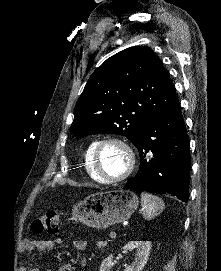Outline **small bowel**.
Masks as SVG:
<instances>
[{
    "label": "small bowel",
    "instance_id": "small-bowel-1",
    "mask_svg": "<svg viewBox=\"0 0 221 271\" xmlns=\"http://www.w3.org/2000/svg\"><path fill=\"white\" fill-rule=\"evenodd\" d=\"M61 239H25L22 243L21 249L25 252H31L37 250L39 252L52 251L57 244H61ZM74 246L79 252H85L87 249V242L83 239H77L74 241ZM82 266H85L86 261L83 259ZM75 267L72 264L66 263L59 267L58 271H75ZM25 271V269H20ZM32 271H38V269H32Z\"/></svg>",
    "mask_w": 221,
    "mask_h": 271
}]
</instances>
